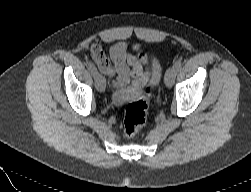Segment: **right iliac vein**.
Returning <instances> with one entry per match:
<instances>
[{
    "instance_id": "obj_1",
    "label": "right iliac vein",
    "mask_w": 251,
    "mask_h": 192,
    "mask_svg": "<svg viewBox=\"0 0 251 192\" xmlns=\"http://www.w3.org/2000/svg\"><path fill=\"white\" fill-rule=\"evenodd\" d=\"M95 86L99 92H104L106 87V80L101 74H97L95 77Z\"/></svg>"
}]
</instances>
